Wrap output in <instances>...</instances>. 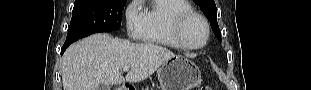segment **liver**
Returning a JSON list of instances; mask_svg holds the SVG:
<instances>
[{
  "instance_id": "obj_1",
  "label": "liver",
  "mask_w": 311,
  "mask_h": 90,
  "mask_svg": "<svg viewBox=\"0 0 311 90\" xmlns=\"http://www.w3.org/2000/svg\"><path fill=\"white\" fill-rule=\"evenodd\" d=\"M173 57V52L159 45L135 44L108 34H94L72 44L64 53L63 88L98 90L100 84L140 82ZM125 66L130 70L124 78Z\"/></svg>"
}]
</instances>
